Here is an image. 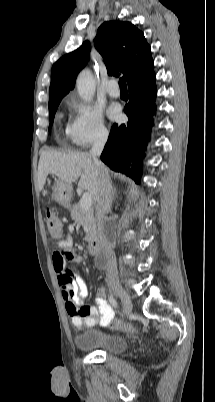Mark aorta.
<instances>
[{"instance_id": "1", "label": "aorta", "mask_w": 215, "mask_h": 402, "mask_svg": "<svg viewBox=\"0 0 215 402\" xmlns=\"http://www.w3.org/2000/svg\"><path fill=\"white\" fill-rule=\"evenodd\" d=\"M76 85L80 97L84 101L90 102L96 90V83L91 71L88 69L81 71L77 77Z\"/></svg>"}]
</instances>
